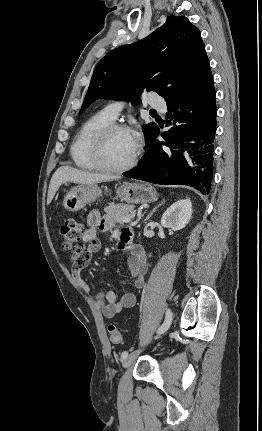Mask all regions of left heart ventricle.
Wrapping results in <instances>:
<instances>
[{"label":"left heart ventricle","mask_w":262,"mask_h":431,"mask_svg":"<svg viewBox=\"0 0 262 431\" xmlns=\"http://www.w3.org/2000/svg\"><path fill=\"white\" fill-rule=\"evenodd\" d=\"M136 146L129 132H115L107 140L105 157L111 166H122L133 156Z\"/></svg>","instance_id":"b2bd125f"}]
</instances>
